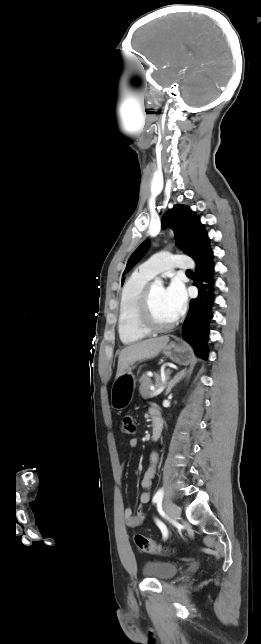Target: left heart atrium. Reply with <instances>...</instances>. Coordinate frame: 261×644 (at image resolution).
Returning <instances> with one entry per match:
<instances>
[{
    "label": "left heart atrium",
    "instance_id": "left-heart-atrium-1",
    "mask_svg": "<svg viewBox=\"0 0 261 644\" xmlns=\"http://www.w3.org/2000/svg\"><path fill=\"white\" fill-rule=\"evenodd\" d=\"M164 298L174 319L183 314L187 299L184 288L178 281L171 282L164 289Z\"/></svg>",
    "mask_w": 261,
    "mask_h": 644
}]
</instances>
